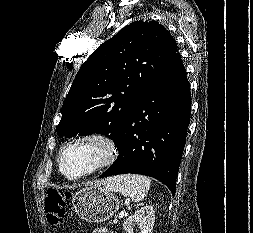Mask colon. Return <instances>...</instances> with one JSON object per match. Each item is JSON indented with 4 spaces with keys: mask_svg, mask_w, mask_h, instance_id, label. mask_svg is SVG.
Returning <instances> with one entry per match:
<instances>
[{
    "mask_svg": "<svg viewBox=\"0 0 253 233\" xmlns=\"http://www.w3.org/2000/svg\"><path fill=\"white\" fill-rule=\"evenodd\" d=\"M69 195L57 189H49L45 198L46 218L51 227L63 223L66 214V202Z\"/></svg>",
    "mask_w": 253,
    "mask_h": 233,
    "instance_id": "5ec220e1",
    "label": "colon"
}]
</instances>
